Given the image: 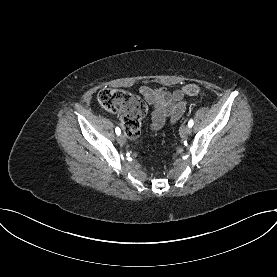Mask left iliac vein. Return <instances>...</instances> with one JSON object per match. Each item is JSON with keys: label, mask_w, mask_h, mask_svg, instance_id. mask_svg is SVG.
Segmentation results:
<instances>
[{"label": "left iliac vein", "mask_w": 277, "mask_h": 277, "mask_svg": "<svg viewBox=\"0 0 277 277\" xmlns=\"http://www.w3.org/2000/svg\"><path fill=\"white\" fill-rule=\"evenodd\" d=\"M181 132L184 134V135H190L192 130H191V127L189 126H183L182 129H181Z\"/></svg>", "instance_id": "1"}]
</instances>
